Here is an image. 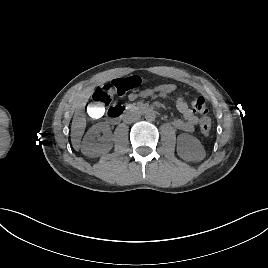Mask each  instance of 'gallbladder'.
Instances as JSON below:
<instances>
[{
  "instance_id": "bac80fb5",
  "label": "gallbladder",
  "mask_w": 268,
  "mask_h": 268,
  "mask_svg": "<svg viewBox=\"0 0 268 268\" xmlns=\"http://www.w3.org/2000/svg\"><path fill=\"white\" fill-rule=\"evenodd\" d=\"M88 112L92 117L99 118L104 114L105 107L101 102L94 101L89 105Z\"/></svg>"
}]
</instances>
